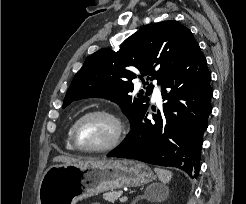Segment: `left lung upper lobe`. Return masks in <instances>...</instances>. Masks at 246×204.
<instances>
[{"label":"left lung upper lobe","mask_w":246,"mask_h":204,"mask_svg":"<svg viewBox=\"0 0 246 204\" xmlns=\"http://www.w3.org/2000/svg\"><path fill=\"white\" fill-rule=\"evenodd\" d=\"M196 44L190 30L177 21L145 27L126 39L118 51L103 48L88 56L73 78L63 108L74 100L103 97L119 104L132 123L148 108L149 101L143 91L134 97L128 95L137 71L161 85ZM151 92L149 85L146 95Z\"/></svg>","instance_id":"obj_1"}]
</instances>
